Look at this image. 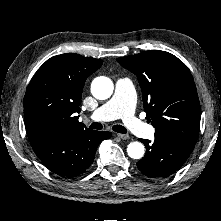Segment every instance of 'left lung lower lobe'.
<instances>
[{"label": "left lung lower lobe", "mask_w": 221, "mask_h": 221, "mask_svg": "<svg viewBox=\"0 0 221 221\" xmlns=\"http://www.w3.org/2000/svg\"><path fill=\"white\" fill-rule=\"evenodd\" d=\"M145 156L137 162L138 169L151 178H166L187 160L195 143L173 135H155L154 142L141 139Z\"/></svg>", "instance_id": "1"}]
</instances>
